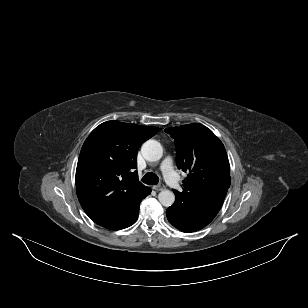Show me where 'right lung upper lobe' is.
<instances>
[{
	"instance_id": "cb5924a9",
	"label": "right lung upper lobe",
	"mask_w": 308,
	"mask_h": 308,
	"mask_svg": "<svg viewBox=\"0 0 308 308\" xmlns=\"http://www.w3.org/2000/svg\"><path fill=\"white\" fill-rule=\"evenodd\" d=\"M157 127L107 121L84 142L76 169V190L86 214L98 225L125 226L149 187L138 180L137 151Z\"/></svg>"
}]
</instances>
